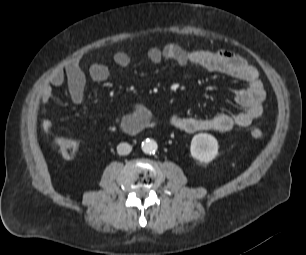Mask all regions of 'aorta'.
Here are the masks:
<instances>
[{
	"label": "aorta",
	"instance_id": "762f6f07",
	"mask_svg": "<svg viewBox=\"0 0 306 255\" xmlns=\"http://www.w3.org/2000/svg\"><path fill=\"white\" fill-rule=\"evenodd\" d=\"M158 148L156 141L152 139H146L142 142L141 149L145 154L155 153Z\"/></svg>",
	"mask_w": 306,
	"mask_h": 255
}]
</instances>
